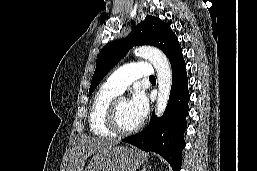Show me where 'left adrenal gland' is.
<instances>
[{"label":"left adrenal gland","mask_w":257,"mask_h":171,"mask_svg":"<svg viewBox=\"0 0 257 171\" xmlns=\"http://www.w3.org/2000/svg\"><path fill=\"white\" fill-rule=\"evenodd\" d=\"M149 169H150V166L148 168L143 167V169L141 171H149Z\"/></svg>","instance_id":"obj_1"}]
</instances>
